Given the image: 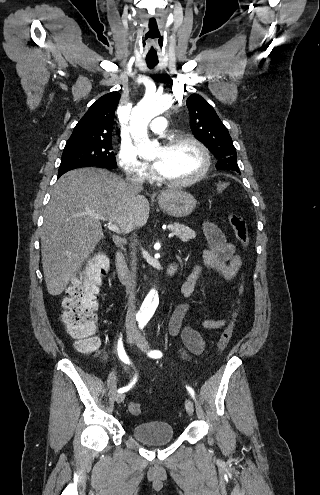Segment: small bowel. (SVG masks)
Returning a JSON list of instances; mask_svg holds the SVG:
<instances>
[{
    "mask_svg": "<svg viewBox=\"0 0 320 495\" xmlns=\"http://www.w3.org/2000/svg\"><path fill=\"white\" fill-rule=\"evenodd\" d=\"M209 248L203 253L202 262L196 265L181 287L186 299L173 312L168 321V332L172 336L181 335L186 349L179 348L181 358L187 360L189 354L198 355L205 349V341L194 326L187 321L188 312L192 306L191 296L195 290L198 278L203 268H209L223 279L232 282L242 266V259L236 253L233 243L226 239L222 230L213 222L204 224ZM233 306V302H231ZM228 324L227 318L202 319L200 326L206 330H217Z\"/></svg>",
    "mask_w": 320,
    "mask_h": 495,
    "instance_id": "1",
    "label": "small bowel"
}]
</instances>
